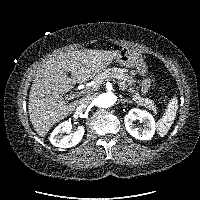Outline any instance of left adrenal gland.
<instances>
[{"label": "left adrenal gland", "mask_w": 200, "mask_h": 200, "mask_svg": "<svg viewBox=\"0 0 200 200\" xmlns=\"http://www.w3.org/2000/svg\"><path fill=\"white\" fill-rule=\"evenodd\" d=\"M121 98H123V97L121 96ZM121 101H122L123 104H124L125 102L132 103V101H131V100H128V99H121Z\"/></svg>", "instance_id": "a2214340"}]
</instances>
